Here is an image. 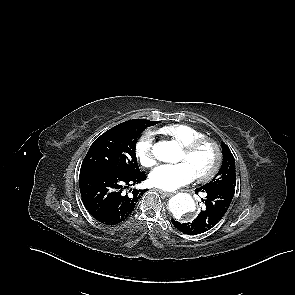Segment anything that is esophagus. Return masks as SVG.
I'll return each instance as SVG.
<instances>
[{"mask_svg": "<svg viewBox=\"0 0 295 295\" xmlns=\"http://www.w3.org/2000/svg\"><path fill=\"white\" fill-rule=\"evenodd\" d=\"M156 191H158L160 194L164 195V196H171L172 193L161 190V189H156Z\"/></svg>", "mask_w": 295, "mask_h": 295, "instance_id": "34e87169", "label": "esophagus"}]
</instances>
